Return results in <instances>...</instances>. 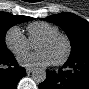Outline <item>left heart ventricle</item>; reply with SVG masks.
<instances>
[{"mask_svg": "<svg viewBox=\"0 0 89 89\" xmlns=\"http://www.w3.org/2000/svg\"><path fill=\"white\" fill-rule=\"evenodd\" d=\"M35 49L45 51L52 61L60 59L66 51V43L62 38H56L49 42H38L35 44Z\"/></svg>", "mask_w": 89, "mask_h": 89, "instance_id": "1", "label": "left heart ventricle"}]
</instances>
